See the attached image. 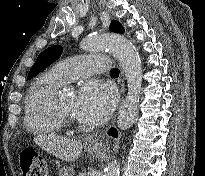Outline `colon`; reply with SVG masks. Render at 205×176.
<instances>
[{"mask_svg":"<svg viewBox=\"0 0 205 176\" xmlns=\"http://www.w3.org/2000/svg\"><path fill=\"white\" fill-rule=\"evenodd\" d=\"M22 176H47L46 161L35 154L25 153L20 162Z\"/></svg>","mask_w":205,"mask_h":176,"instance_id":"1","label":"colon"}]
</instances>
